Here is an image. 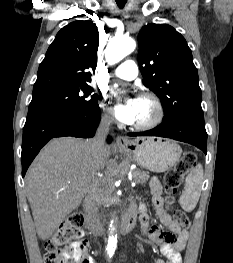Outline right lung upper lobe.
<instances>
[{
  "instance_id": "obj_1",
  "label": "right lung upper lobe",
  "mask_w": 233,
  "mask_h": 263,
  "mask_svg": "<svg viewBox=\"0 0 233 263\" xmlns=\"http://www.w3.org/2000/svg\"><path fill=\"white\" fill-rule=\"evenodd\" d=\"M99 34L90 20L63 27L39 65L32 95L88 84L97 64Z\"/></svg>"
}]
</instances>
